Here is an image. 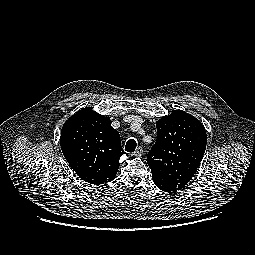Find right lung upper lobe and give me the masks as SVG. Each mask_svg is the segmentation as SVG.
Instances as JSON below:
<instances>
[{
  "mask_svg": "<svg viewBox=\"0 0 255 255\" xmlns=\"http://www.w3.org/2000/svg\"><path fill=\"white\" fill-rule=\"evenodd\" d=\"M64 157L81 178L95 185L112 181L125 154L120 135L111 120L92 108H83L70 117L61 130Z\"/></svg>",
  "mask_w": 255,
  "mask_h": 255,
  "instance_id": "obj_1",
  "label": "right lung upper lobe"
}]
</instances>
